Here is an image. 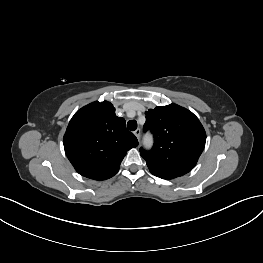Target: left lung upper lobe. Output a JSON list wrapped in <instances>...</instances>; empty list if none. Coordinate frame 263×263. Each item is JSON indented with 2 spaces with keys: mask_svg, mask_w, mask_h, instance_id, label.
I'll return each mask as SVG.
<instances>
[{
  "mask_svg": "<svg viewBox=\"0 0 263 263\" xmlns=\"http://www.w3.org/2000/svg\"><path fill=\"white\" fill-rule=\"evenodd\" d=\"M144 131L154 135L151 151L140 149L150 172L162 179H173L191 171L206 141L199 119L189 110L170 104L145 112Z\"/></svg>",
  "mask_w": 263,
  "mask_h": 263,
  "instance_id": "obj_1",
  "label": "left lung upper lobe"
}]
</instances>
